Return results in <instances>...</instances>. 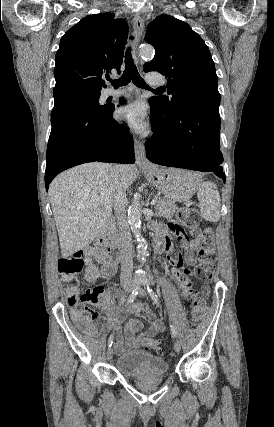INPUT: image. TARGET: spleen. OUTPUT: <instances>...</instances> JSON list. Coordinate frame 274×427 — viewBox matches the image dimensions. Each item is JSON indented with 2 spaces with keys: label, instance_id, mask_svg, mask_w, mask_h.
Segmentation results:
<instances>
[{
  "label": "spleen",
  "instance_id": "obj_1",
  "mask_svg": "<svg viewBox=\"0 0 274 427\" xmlns=\"http://www.w3.org/2000/svg\"><path fill=\"white\" fill-rule=\"evenodd\" d=\"M197 198L202 217L206 221H219L220 219V194L213 182L199 184Z\"/></svg>",
  "mask_w": 274,
  "mask_h": 427
}]
</instances>
